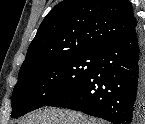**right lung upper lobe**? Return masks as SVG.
<instances>
[{"label": "right lung upper lobe", "mask_w": 145, "mask_h": 124, "mask_svg": "<svg viewBox=\"0 0 145 124\" xmlns=\"http://www.w3.org/2000/svg\"><path fill=\"white\" fill-rule=\"evenodd\" d=\"M136 27L128 0H64L41 23L18 77L58 57L99 54Z\"/></svg>", "instance_id": "obj_1"}]
</instances>
